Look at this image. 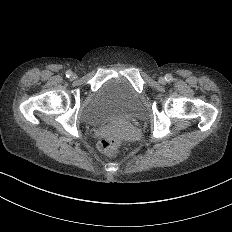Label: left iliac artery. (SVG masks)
<instances>
[{"instance_id":"left-iliac-artery-1","label":"left iliac artery","mask_w":232,"mask_h":232,"mask_svg":"<svg viewBox=\"0 0 232 232\" xmlns=\"http://www.w3.org/2000/svg\"><path fill=\"white\" fill-rule=\"evenodd\" d=\"M165 80H166L167 82H171V81L173 80L172 74H170V73L166 74V75H165Z\"/></svg>"}]
</instances>
